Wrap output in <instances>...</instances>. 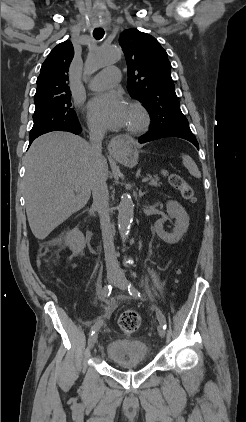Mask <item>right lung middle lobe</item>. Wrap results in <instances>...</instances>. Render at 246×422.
I'll list each match as a JSON object with an SVG mask.
<instances>
[{
  "label": "right lung middle lobe",
  "instance_id": "obj_1",
  "mask_svg": "<svg viewBox=\"0 0 246 422\" xmlns=\"http://www.w3.org/2000/svg\"><path fill=\"white\" fill-rule=\"evenodd\" d=\"M71 96L61 97L48 105L36 108L33 114L34 125L29 138L43 134L54 128H70L79 122L72 109Z\"/></svg>",
  "mask_w": 246,
  "mask_h": 422
}]
</instances>
